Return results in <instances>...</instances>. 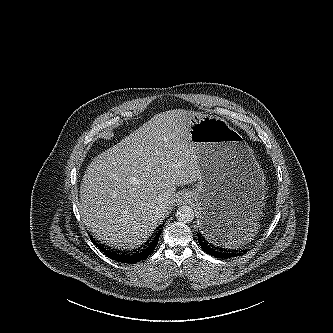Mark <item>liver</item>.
Masks as SVG:
<instances>
[{
  "label": "liver",
  "mask_w": 333,
  "mask_h": 333,
  "mask_svg": "<svg viewBox=\"0 0 333 333\" xmlns=\"http://www.w3.org/2000/svg\"><path fill=\"white\" fill-rule=\"evenodd\" d=\"M192 117L182 109L159 113L93 159L78 208L99 240L120 247L142 243L174 207L176 187L198 180Z\"/></svg>",
  "instance_id": "obj_1"
}]
</instances>
